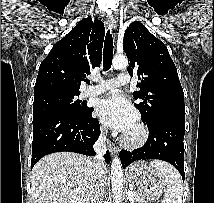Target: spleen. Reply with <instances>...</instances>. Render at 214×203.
I'll return each mask as SVG.
<instances>
[{
  "instance_id": "obj_1",
  "label": "spleen",
  "mask_w": 214,
  "mask_h": 203,
  "mask_svg": "<svg viewBox=\"0 0 214 203\" xmlns=\"http://www.w3.org/2000/svg\"><path fill=\"white\" fill-rule=\"evenodd\" d=\"M151 165L165 178L166 191L162 203H182L183 188L178 171L173 166L158 160L152 161Z\"/></svg>"
}]
</instances>
